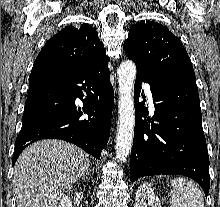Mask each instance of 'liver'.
Masks as SVG:
<instances>
[{
	"label": "liver",
	"mask_w": 220,
	"mask_h": 207,
	"mask_svg": "<svg viewBox=\"0 0 220 207\" xmlns=\"http://www.w3.org/2000/svg\"><path fill=\"white\" fill-rule=\"evenodd\" d=\"M89 165L88 154L68 142L49 139L31 144L14 166L17 207H56Z\"/></svg>",
	"instance_id": "1"
}]
</instances>
